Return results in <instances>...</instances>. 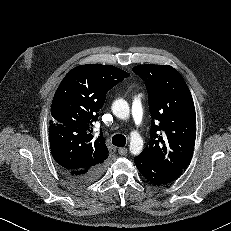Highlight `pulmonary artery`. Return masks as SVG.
<instances>
[{"mask_svg":"<svg viewBox=\"0 0 231 231\" xmlns=\"http://www.w3.org/2000/svg\"><path fill=\"white\" fill-rule=\"evenodd\" d=\"M131 116L136 126H140L142 124L143 109L141 96L134 97L131 106Z\"/></svg>","mask_w":231,"mask_h":231,"instance_id":"obj_1","label":"pulmonary artery"}]
</instances>
